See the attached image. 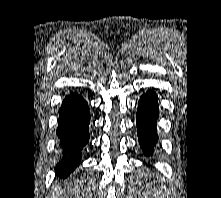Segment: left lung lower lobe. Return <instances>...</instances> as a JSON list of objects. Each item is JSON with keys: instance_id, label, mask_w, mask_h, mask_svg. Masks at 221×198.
Returning a JSON list of instances; mask_svg holds the SVG:
<instances>
[{"instance_id": "obj_1", "label": "left lung lower lobe", "mask_w": 221, "mask_h": 198, "mask_svg": "<svg viewBox=\"0 0 221 198\" xmlns=\"http://www.w3.org/2000/svg\"><path fill=\"white\" fill-rule=\"evenodd\" d=\"M159 117L157 95L152 90L141 96L137 110L138 139L145 154L152 153L158 140L156 123Z\"/></svg>"}]
</instances>
